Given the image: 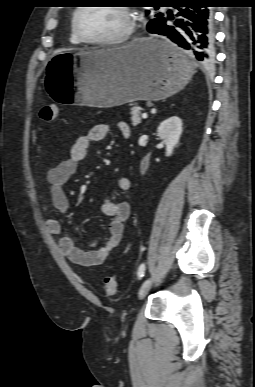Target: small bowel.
I'll return each instance as SVG.
<instances>
[{"instance_id":"small-bowel-1","label":"small bowel","mask_w":255,"mask_h":387,"mask_svg":"<svg viewBox=\"0 0 255 387\" xmlns=\"http://www.w3.org/2000/svg\"><path fill=\"white\" fill-rule=\"evenodd\" d=\"M117 126L124 137L129 136L130 129L125 122H119ZM110 131L111 127L108 124L93 125L85 134L75 140L68 157L47 171L45 178L50 187L51 203L59 214L66 215L69 209V199L65 193L64 185L76 173L80 163L85 160L90 144L103 140ZM130 187L131 180L127 177H121L116 182L115 190L117 193L123 194ZM101 211L105 216L111 218L109 233L104 242L95 240L89 249H85L77 246L69 236L62 235L60 237L59 249L71 262L87 267L101 265L121 244L125 222L131 215L129 202L108 197L103 201ZM46 228L52 234H62L61 221L56 217H49L46 220Z\"/></svg>"}]
</instances>
